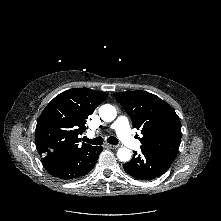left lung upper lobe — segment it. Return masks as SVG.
Masks as SVG:
<instances>
[{
    "mask_svg": "<svg viewBox=\"0 0 221 221\" xmlns=\"http://www.w3.org/2000/svg\"><path fill=\"white\" fill-rule=\"evenodd\" d=\"M143 137L140 148L176 157L181 141V123L174 109L146 91L114 93Z\"/></svg>",
    "mask_w": 221,
    "mask_h": 221,
    "instance_id": "1",
    "label": "left lung upper lobe"
}]
</instances>
